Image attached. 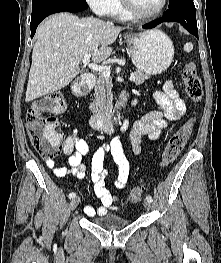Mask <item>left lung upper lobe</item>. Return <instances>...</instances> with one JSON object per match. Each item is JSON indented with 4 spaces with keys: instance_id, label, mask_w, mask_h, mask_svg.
<instances>
[{
    "instance_id": "obj_1",
    "label": "left lung upper lobe",
    "mask_w": 221,
    "mask_h": 263,
    "mask_svg": "<svg viewBox=\"0 0 221 263\" xmlns=\"http://www.w3.org/2000/svg\"><path fill=\"white\" fill-rule=\"evenodd\" d=\"M176 1H180V0H170V2H176Z\"/></svg>"
}]
</instances>
